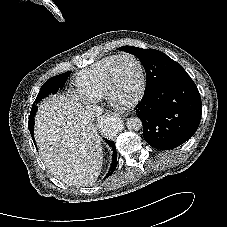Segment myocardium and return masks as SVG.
Returning a JSON list of instances; mask_svg holds the SVG:
<instances>
[{"label": "myocardium", "mask_w": 227, "mask_h": 227, "mask_svg": "<svg viewBox=\"0 0 227 227\" xmlns=\"http://www.w3.org/2000/svg\"><path fill=\"white\" fill-rule=\"evenodd\" d=\"M123 58H131L133 59L136 64L139 67L140 70V87L137 92V94L127 102H121L118 101L114 96V85H115V79H114V71L116 64ZM147 85V76H146V70L142 63V61L134 54L132 53H122L116 56L113 63L110 65L106 77V93L105 97L108 100V102L114 106H121V107H131L136 105L144 96L145 90Z\"/></svg>", "instance_id": "obj_1"}]
</instances>
